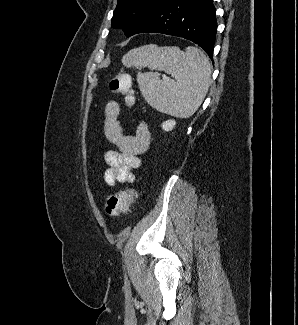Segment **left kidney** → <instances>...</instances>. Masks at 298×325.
Instances as JSON below:
<instances>
[{
    "mask_svg": "<svg viewBox=\"0 0 298 325\" xmlns=\"http://www.w3.org/2000/svg\"><path fill=\"white\" fill-rule=\"evenodd\" d=\"M175 124L176 120H174V118H171V120H164V122H162V128L163 130H172Z\"/></svg>",
    "mask_w": 298,
    "mask_h": 325,
    "instance_id": "obj_1",
    "label": "left kidney"
}]
</instances>
